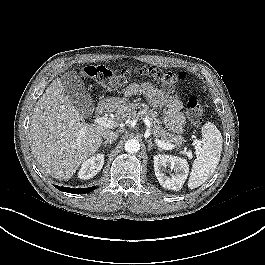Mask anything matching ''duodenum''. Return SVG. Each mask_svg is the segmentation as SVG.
<instances>
[{
  "mask_svg": "<svg viewBox=\"0 0 265 265\" xmlns=\"http://www.w3.org/2000/svg\"><path fill=\"white\" fill-rule=\"evenodd\" d=\"M110 104H111V102H108V101L99 103L98 106H97V109H96L97 112L98 113H103L106 109L109 108Z\"/></svg>",
  "mask_w": 265,
  "mask_h": 265,
  "instance_id": "1",
  "label": "duodenum"
}]
</instances>
